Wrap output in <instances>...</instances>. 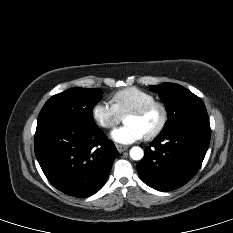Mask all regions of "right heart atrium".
<instances>
[{
    "instance_id": "d8ad5b80",
    "label": "right heart atrium",
    "mask_w": 233,
    "mask_h": 233,
    "mask_svg": "<svg viewBox=\"0 0 233 233\" xmlns=\"http://www.w3.org/2000/svg\"><path fill=\"white\" fill-rule=\"evenodd\" d=\"M91 114L95 123L104 129L114 128L122 119L113 104L105 101L97 102L93 106Z\"/></svg>"
}]
</instances>
